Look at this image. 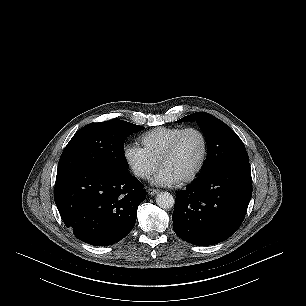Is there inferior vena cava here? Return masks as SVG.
Listing matches in <instances>:
<instances>
[{
	"instance_id": "602c4592",
	"label": "inferior vena cava",
	"mask_w": 306,
	"mask_h": 306,
	"mask_svg": "<svg viewBox=\"0 0 306 306\" xmlns=\"http://www.w3.org/2000/svg\"><path fill=\"white\" fill-rule=\"evenodd\" d=\"M135 174L138 175V176H141V177H148L149 176V173L147 171H143V170H138V171H136Z\"/></svg>"
}]
</instances>
